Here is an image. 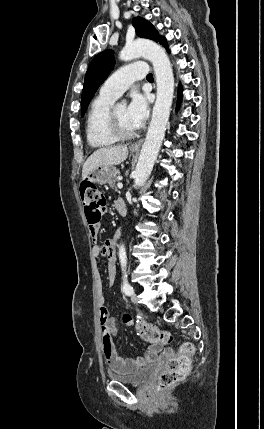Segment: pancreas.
<instances>
[{"mask_svg": "<svg viewBox=\"0 0 264 429\" xmlns=\"http://www.w3.org/2000/svg\"><path fill=\"white\" fill-rule=\"evenodd\" d=\"M119 171L117 170L116 172H115V175L112 177V179L111 180H109V185H110V187L112 188V189H114V190H117V187H116V182H118L119 181V179H118V177H119Z\"/></svg>", "mask_w": 264, "mask_h": 429, "instance_id": "1", "label": "pancreas"}]
</instances>
